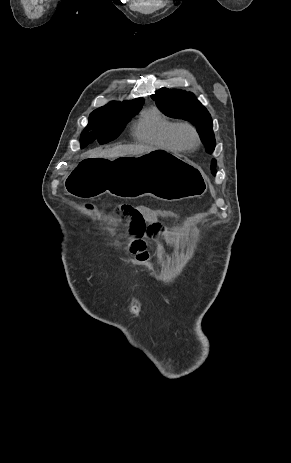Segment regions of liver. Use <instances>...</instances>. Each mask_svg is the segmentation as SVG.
Wrapping results in <instances>:
<instances>
[{
	"label": "liver",
	"instance_id": "6515ba94",
	"mask_svg": "<svg viewBox=\"0 0 291 463\" xmlns=\"http://www.w3.org/2000/svg\"><path fill=\"white\" fill-rule=\"evenodd\" d=\"M155 150L147 145H118L110 149H94L86 153L87 159H116L125 156H138Z\"/></svg>",
	"mask_w": 291,
	"mask_h": 463
}]
</instances>
